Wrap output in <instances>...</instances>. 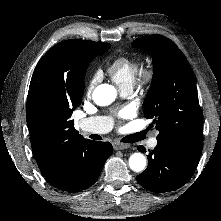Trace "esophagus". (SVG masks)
<instances>
[{
	"mask_svg": "<svg viewBox=\"0 0 221 221\" xmlns=\"http://www.w3.org/2000/svg\"><path fill=\"white\" fill-rule=\"evenodd\" d=\"M113 148H114L115 150H124V149L129 148V144L114 142V143H113Z\"/></svg>",
	"mask_w": 221,
	"mask_h": 221,
	"instance_id": "34e87169",
	"label": "esophagus"
}]
</instances>
